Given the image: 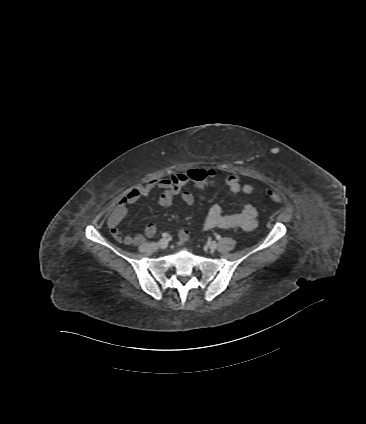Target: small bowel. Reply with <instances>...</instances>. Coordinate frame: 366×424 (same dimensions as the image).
<instances>
[{
  "label": "small bowel",
  "mask_w": 366,
  "mask_h": 424,
  "mask_svg": "<svg viewBox=\"0 0 366 424\" xmlns=\"http://www.w3.org/2000/svg\"><path fill=\"white\" fill-rule=\"evenodd\" d=\"M211 176L199 187L214 184L218 181V177L214 170H209ZM191 181L187 173H178L170 178H155L146 183L139 184L130 189L122 198L120 204L110 214L107 225L115 240L126 245H138L142 243L146 237H153L157 231L154 223L146 224L143 234L123 235L119 230V225L127 216L128 204L137 202L141 197L148 195L153 189H161L162 192L158 196L157 202L160 206L168 207L172 204L175 196H179L184 203L192 205L195 201L194 194L186 190L184 186ZM225 185L228 187L232 195L237 196L244 192L243 184L237 175H229L225 178ZM257 209L251 203L243 204L241 211L234 214H225L222 207L218 204L213 205L202 224V229L209 230L213 228L231 229L240 228L246 231L253 230L257 224ZM188 232L184 229L179 230L178 246H182L188 240Z\"/></svg>",
  "instance_id": "small-bowel-1"
}]
</instances>
